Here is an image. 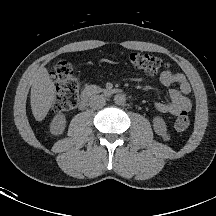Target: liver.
I'll return each mask as SVG.
<instances>
[{"label":"liver","instance_id":"1","mask_svg":"<svg viewBox=\"0 0 216 216\" xmlns=\"http://www.w3.org/2000/svg\"><path fill=\"white\" fill-rule=\"evenodd\" d=\"M55 100V86L45 67H40L32 78L30 103L32 114L42 121Z\"/></svg>","mask_w":216,"mask_h":216}]
</instances>
